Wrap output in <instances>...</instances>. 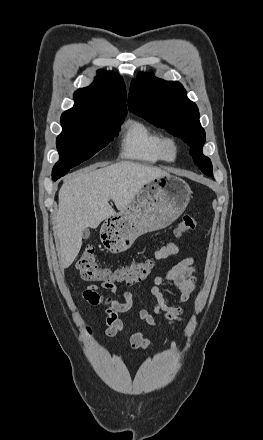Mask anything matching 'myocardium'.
<instances>
[{
    "label": "myocardium",
    "mask_w": 263,
    "mask_h": 440,
    "mask_svg": "<svg viewBox=\"0 0 263 440\" xmlns=\"http://www.w3.org/2000/svg\"><path fill=\"white\" fill-rule=\"evenodd\" d=\"M161 153L166 161H175L180 153V143L173 136H164L160 144Z\"/></svg>",
    "instance_id": "myocardium-1"
}]
</instances>
